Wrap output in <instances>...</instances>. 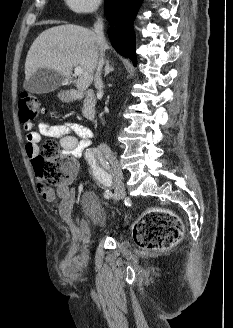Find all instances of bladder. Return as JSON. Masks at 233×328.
Wrapping results in <instances>:
<instances>
[{"instance_id": "31cf9c89", "label": "bladder", "mask_w": 233, "mask_h": 328, "mask_svg": "<svg viewBox=\"0 0 233 328\" xmlns=\"http://www.w3.org/2000/svg\"><path fill=\"white\" fill-rule=\"evenodd\" d=\"M82 209L89 225L104 229L110 219L108 211L104 208L95 193L87 191L81 198Z\"/></svg>"}]
</instances>
